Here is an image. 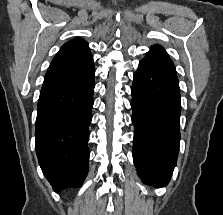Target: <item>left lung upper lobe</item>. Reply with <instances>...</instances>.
<instances>
[{
	"instance_id": "5c2ea615",
	"label": "left lung upper lobe",
	"mask_w": 223,
	"mask_h": 215,
	"mask_svg": "<svg viewBox=\"0 0 223 215\" xmlns=\"http://www.w3.org/2000/svg\"><path fill=\"white\" fill-rule=\"evenodd\" d=\"M142 60H149L174 66L165 50L158 45L151 47L150 51Z\"/></svg>"
}]
</instances>
